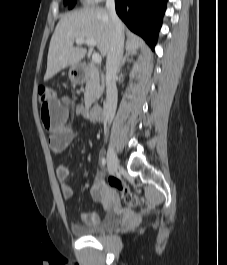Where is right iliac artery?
<instances>
[{"mask_svg": "<svg viewBox=\"0 0 227 265\" xmlns=\"http://www.w3.org/2000/svg\"><path fill=\"white\" fill-rule=\"evenodd\" d=\"M101 161H102V164H103V165L106 164V159H105V157H103Z\"/></svg>", "mask_w": 227, "mask_h": 265, "instance_id": "1", "label": "right iliac artery"}]
</instances>
